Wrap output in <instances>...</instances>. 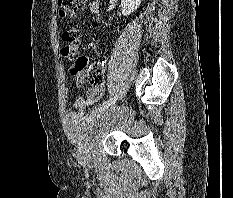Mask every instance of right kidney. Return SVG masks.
<instances>
[{
  "label": "right kidney",
  "instance_id": "ca27d5eb",
  "mask_svg": "<svg viewBox=\"0 0 233 198\" xmlns=\"http://www.w3.org/2000/svg\"><path fill=\"white\" fill-rule=\"evenodd\" d=\"M140 3L141 0H121V10L123 16L133 13L140 6Z\"/></svg>",
  "mask_w": 233,
  "mask_h": 198
}]
</instances>
